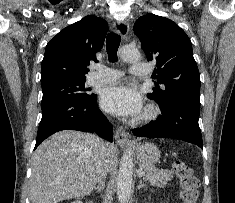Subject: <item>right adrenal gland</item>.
<instances>
[{
    "mask_svg": "<svg viewBox=\"0 0 235 203\" xmlns=\"http://www.w3.org/2000/svg\"><path fill=\"white\" fill-rule=\"evenodd\" d=\"M104 186H105V182H103L101 185L95 187L96 192H97V193H100L101 190L104 189Z\"/></svg>",
    "mask_w": 235,
    "mask_h": 203,
    "instance_id": "obj_1",
    "label": "right adrenal gland"
}]
</instances>
